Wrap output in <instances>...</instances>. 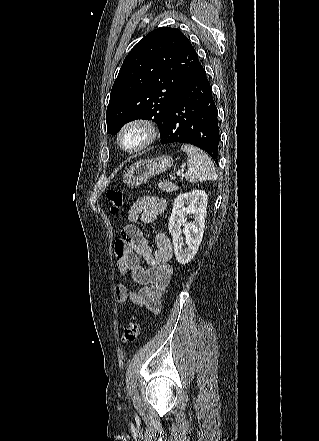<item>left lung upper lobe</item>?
Returning a JSON list of instances; mask_svg holds the SVG:
<instances>
[{
  "label": "left lung upper lobe",
  "mask_w": 319,
  "mask_h": 441,
  "mask_svg": "<svg viewBox=\"0 0 319 441\" xmlns=\"http://www.w3.org/2000/svg\"><path fill=\"white\" fill-rule=\"evenodd\" d=\"M199 65L180 30L161 27L150 32L126 56L113 84L107 133L115 135L136 119H153L161 133L182 85Z\"/></svg>",
  "instance_id": "1"
}]
</instances>
